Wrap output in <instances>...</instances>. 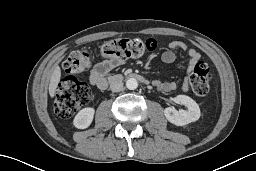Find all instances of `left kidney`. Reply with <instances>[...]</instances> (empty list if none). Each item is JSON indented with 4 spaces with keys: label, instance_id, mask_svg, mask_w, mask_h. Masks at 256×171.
Masks as SVG:
<instances>
[{
    "label": "left kidney",
    "instance_id": "obj_1",
    "mask_svg": "<svg viewBox=\"0 0 256 171\" xmlns=\"http://www.w3.org/2000/svg\"><path fill=\"white\" fill-rule=\"evenodd\" d=\"M174 101L178 104L185 105L187 110L181 109L177 111L174 107L165 108L164 115L170 123L176 126H184L200 118V108L189 96L177 95Z\"/></svg>",
    "mask_w": 256,
    "mask_h": 171
}]
</instances>
